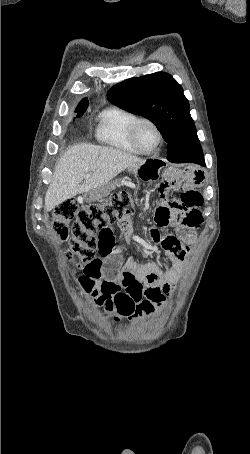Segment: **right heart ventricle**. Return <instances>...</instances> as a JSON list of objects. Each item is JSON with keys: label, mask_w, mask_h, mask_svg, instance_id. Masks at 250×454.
<instances>
[{"label": "right heart ventricle", "mask_w": 250, "mask_h": 454, "mask_svg": "<svg viewBox=\"0 0 250 454\" xmlns=\"http://www.w3.org/2000/svg\"><path fill=\"white\" fill-rule=\"evenodd\" d=\"M137 116L119 106H110L98 116L95 135L101 143L124 152L141 154L132 143L130 129Z\"/></svg>", "instance_id": "1"}]
</instances>
